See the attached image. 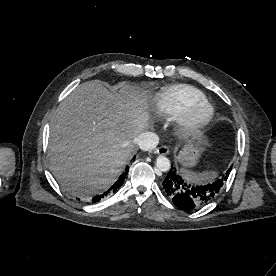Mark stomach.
<instances>
[{"instance_id":"0dacf381","label":"stomach","mask_w":276,"mask_h":276,"mask_svg":"<svg viewBox=\"0 0 276 276\" xmlns=\"http://www.w3.org/2000/svg\"><path fill=\"white\" fill-rule=\"evenodd\" d=\"M200 145V143L186 145L180 150L177 160L184 166L191 167L196 165L202 151Z\"/></svg>"}]
</instances>
